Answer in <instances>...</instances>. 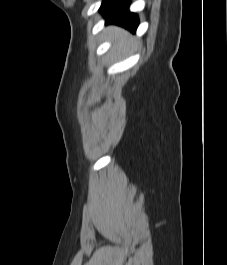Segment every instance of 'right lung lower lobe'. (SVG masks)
<instances>
[{
  "mask_svg": "<svg viewBox=\"0 0 227 265\" xmlns=\"http://www.w3.org/2000/svg\"><path fill=\"white\" fill-rule=\"evenodd\" d=\"M129 4V0H108L101 11L107 21L135 31L139 20L136 14L129 12Z\"/></svg>",
  "mask_w": 227,
  "mask_h": 265,
  "instance_id": "obj_1",
  "label": "right lung lower lobe"
}]
</instances>
